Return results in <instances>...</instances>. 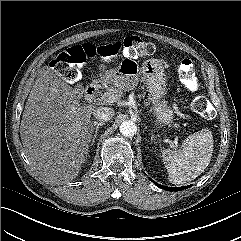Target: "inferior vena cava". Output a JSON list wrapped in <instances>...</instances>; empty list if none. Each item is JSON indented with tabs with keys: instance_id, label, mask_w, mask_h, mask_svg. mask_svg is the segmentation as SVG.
I'll return each mask as SVG.
<instances>
[{
	"instance_id": "1",
	"label": "inferior vena cava",
	"mask_w": 241,
	"mask_h": 241,
	"mask_svg": "<svg viewBox=\"0 0 241 241\" xmlns=\"http://www.w3.org/2000/svg\"><path fill=\"white\" fill-rule=\"evenodd\" d=\"M114 114V110L109 107H97L93 111V116L101 122L109 121Z\"/></svg>"
}]
</instances>
